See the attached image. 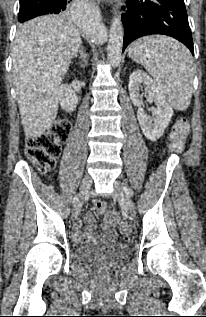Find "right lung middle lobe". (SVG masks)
<instances>
[{"mask_svg": "<svg viewBox=\"0 0 206 317\" xmlns=\"http://www.w3.org/2000/svg\"><path fill=\"white\" fill-rule=\"evenodd\" d=\"M20 10L18 21L20 23L45 14H58L61 8L56 7L57 0H19ZM70 3V2H69ZM68 3V4H69ZM67 4V5H68Z\"/></svg>", "mask_w": 206, "mask_h": 317, "instance_id": "1", "label": "right lung middle lobe"}]
</instances>
